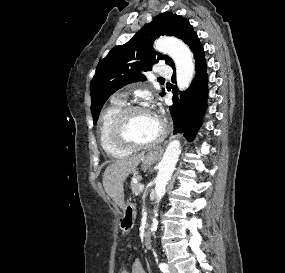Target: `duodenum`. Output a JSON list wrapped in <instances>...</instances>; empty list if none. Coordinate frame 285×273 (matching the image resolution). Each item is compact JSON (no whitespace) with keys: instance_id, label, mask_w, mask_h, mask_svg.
Returning a JSON list of instances; mask_svg holds the SVG:
<instances>
[{"instance_id":"duodenum-1","label":"duodenum","mask_w":285,"mask_h":273,"mask_svg":"<svg viewBox=\"0 0 285 273\" xmlns=\"http://www.w3.org/2000/svg\"><path fill=\"white\" fill-rule=\"evenodd\" d=\"M144 245L149 248L151 246V234L147 231L144 235Z\"/></svg>"}]
</instances>
